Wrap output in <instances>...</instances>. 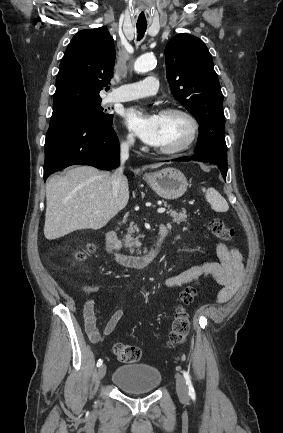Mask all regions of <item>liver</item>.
Returning a JSON list of instances; mask_svg holds the SVG:
<instances>
[{"mask_svg":"<svg viewBox=\"0 0 283 433\" xmlns=\"http://www.w3.org/2000/svg\"><path fill=\"white\" fill-rule=\"evenodd\" d=\"M160 164H152L157 168ZM46 239H59L79 229H102L129 200L125 176L117 196L112 194V174L93 166H76L66 176H51L46 184Z\"/></svg>","mask_w":283,"mask_h":433,"instance_id":"obj_1","label":"liver"}]
</instances>
